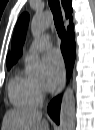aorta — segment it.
Returning <instances> with one entry per match:
<instances>
[{
  "label": "aorta",
  "instance_id": "obj_1",
  "mask_svg": "<svg viewBox=\"0 0 95 130\" xmlns=\"http://www.w3.org/2000/svg\"><path fill=\"white\" fill-rule=\"evenodd\" d=\"M52 15L45 12L35 15L30 24V30L34 37L38 36L51 24ZM27 69L32 76H39L42 73V66L37 54L30 55L27 63ZM75 95L71 87L66 88L61 102L60 109V130H75Z\"/></svg>",
  "mask_w": 95,
  "mask_h": 130
}]
</instances>
